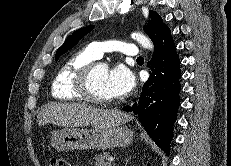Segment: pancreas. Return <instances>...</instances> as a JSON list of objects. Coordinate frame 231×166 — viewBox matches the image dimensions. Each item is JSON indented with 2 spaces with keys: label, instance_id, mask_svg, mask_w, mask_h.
I'll return each instance as SVG.
<instances>
[{
  "label": "pancreas",
  "instance_id": "1",
  "mask_svg": "<svg viewBox=\"0 0 231 166\" xmlns=\"http://www.w3.org/2000/svg\"><path fill=\"white\" fill-rule=\"evenodd\" d=\"M110 154L108 152H104L103 154L94 155L93 160L95 162V166H112L110 162H107Z\"/></svg>",
  "mask_w": 231,
  "mask_h": 166
}]
</instances>
